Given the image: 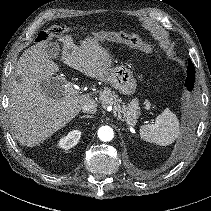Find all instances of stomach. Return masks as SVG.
I'll use <instances>...</instances> for the list:
<instances>
[{
    "instance_id": "0dacf381",
    "label": "stomach",
    "mask_w": 211,
    "mask_h": 211,
    "mask_svg": "<svg viewBox=\"0 0 211 211\" xmlns=\"http://www.w3.org/2000/svg\"><path fill=\"white\" fill-rule=\"evenodd\" d=\"M115 40L127 43L131 36L124 32L116 33ZM110 84L124 95H132L136 91V79L130 69L124 65L115 67L109 75Z\"/></svg>"
}]
</instances>
